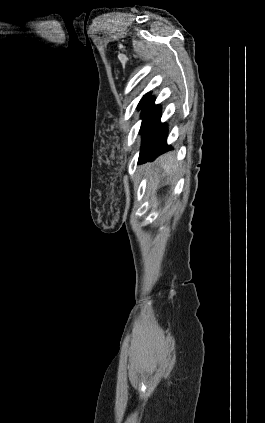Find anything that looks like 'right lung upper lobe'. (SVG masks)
Wrapping results in <instances>:
<instances>
[{
    "label": "right lung upper lobe",
    "instance_id": "cb5924a9",
    "mask_svg": "<svg viewBox=\"0 0 265 423\" xmlns=\"http://www.w3.org/2000/svg\"><path fill=\"white\" fill-rule=\"evenodd\" d=\"M150 95V93H147V95H145L144 97H147V96H149Z\"/></svg>",
    "mask_w": 265,
    "mask_h": 423
}]
</instances>
